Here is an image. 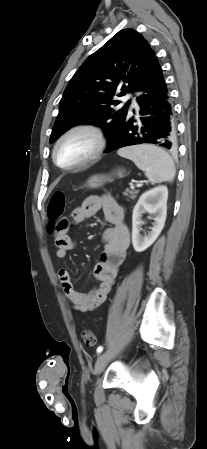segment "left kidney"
I'll use <instances>...</instances> for the list:
<instances>
[{
  "label": "left kidney",
  "instance_id": "5707ae66",
  "mask_svg": "<svg viewBox=\"0 0 207 449\" xmlns=\"http://www.w3.org/2000/svg\"><path fill=\"white\" fill-rule=\"evenodd\" d=\"M168 189L158 186L143 193L133 209L132 215V244L136 252H143L150 247L164 228L167 215ZM148 212L154 215L151 231L147 235H140L143 223L142 214Z\"/></svg>",
  "mask_w": 207,
  "mask_h": 449
}]
</instances>
